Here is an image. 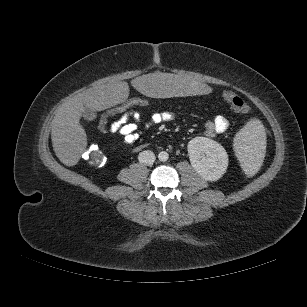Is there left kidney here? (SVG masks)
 Listing matches in <instances>:
<instances>
[{
  "instance_id": "obj_1",
  "label": "left kidney",
  "mask_w": 307,
  "mask_h": 307,
  "mask_svg": "<svg viewBox=\"0 0 307 307\" xmlns=\"http://www.w3.org/2000/svg\"><path fill=\"white\" fill-rule=\"evenodd\" d=\"M187 149L192 167L206 180L217 181L226 172L228 155L218 142L195 137L189 141Z\"/></svg>"
}]
</instances>
